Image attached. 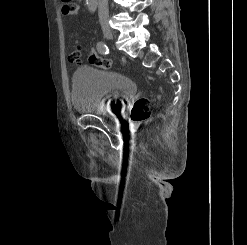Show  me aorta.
I'll list each match as a JSON object with an SVG mask.
<instances>
[{"label":"aorta","instance_id":"762f6f07","mask_svg":"<svg viewBox=\"0 0 247 245\" xmlns=\"http://www.w3.org/2000/svg\"><path fill=\"white\" fill-rule=\"evenodd\" d=\"M95 1L96 0H86L88 6L90 7V9H93L95 6Z\"/></svg>","mask_w":247,"mask_h":245}]
</instances>
